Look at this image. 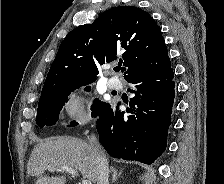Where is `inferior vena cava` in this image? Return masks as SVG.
<instances>
[{
	"mask_svg": "<svg viewBox=\"0 0 224 184\" xmlns=\"http://www.w3.org/2000/svg\"><path fill=\"white\" fill-rule=\"evenodd\" d=\"M89 145L96 161L97 184H109V165L102 146L94 134L89 138Z\"/></svg>",
	"mask_w": 224,
	"mask_h": 184,
	"instance_id": "602c4592",
	"label": "inferior vena cava"
}]
</instances>
